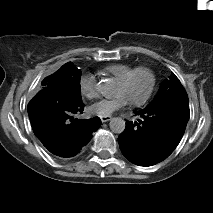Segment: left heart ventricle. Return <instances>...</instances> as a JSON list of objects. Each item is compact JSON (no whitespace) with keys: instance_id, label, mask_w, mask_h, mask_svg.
I'll list each match as a JSON object with an SVG mask.
<instances>
[{"instance_id":"left-heart-ventricle-1","label":"left heart ventricle","mask_w":213,"mask_h":213,"mask_svg":"<svg viewBox=\"0 0 213 213\" xmlns=\"http://www.w3.org/2000/svg\"><path fill=\"white\" fill-rule=\"evenodd\" d=\"M143 82H144V79H143V78L139 79V80L136 82L135 87L138 89L139 87H141V85L143 84ZM121 90L124 92V89H123V88H121Z\"/></svg>"}]
</instances>
